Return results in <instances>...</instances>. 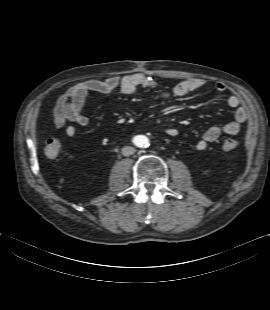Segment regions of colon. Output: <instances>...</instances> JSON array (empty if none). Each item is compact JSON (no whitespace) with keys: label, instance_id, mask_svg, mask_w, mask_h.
Segmentation results:
<instances>
[{"label":"colon","instance_id":"obj_1","mask_svg":"<svg viewBox=\"0 0 270 310\" xmlns=\"http://www.w3.org/2000/svg\"><path fill=\"white\" fill-rule=\"evenodd\" d=\"M238 145L237 139L228 137L223 140L222 148L225 151H234ZM62 148V142L58 138L52 137L46 142L44 151L47 157L56 158L61 154Z\"/></svg>","mask_w":270,"mask_h":310}]
</instances>
